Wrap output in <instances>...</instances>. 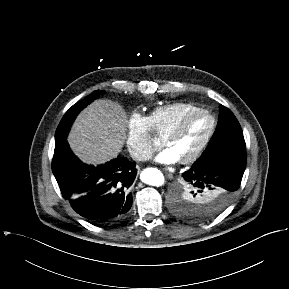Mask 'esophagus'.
Instances as JSON below:
<instances>
[{
    "mask_svg": "<svg viewBox=\"0 0 289 289\" xmlns=\"http://www.w3.org/2000/svg\"><path fill=\"white\" fill-rule=\"evenodd\" d=\"M165 174H166L167 178H169V179L173 178V175L171 173L166 172Z\"/></svg>",
    "mask_w": 289,
    "mask_h": 289,
    "instance_id": "esophagus-1",
    "label": "esophagus"
}]
</instances>
